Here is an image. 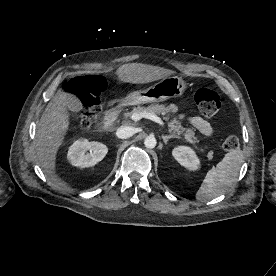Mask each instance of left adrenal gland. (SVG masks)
<instances>
[{
  "label": "left adrenal gland",
  "instance_id": "left-adrenal-gland-1",
  "mask_svg": "<svg viewBox=\"0 0 276 276\" xmlns=\"http://www.w3.org/2000/svg\"><path fill=\"white\" fill-rule=\"evenodd\" d=\"M162 138H163L164 143L167 144V142H168L169 139H171V138H179V137L176 136V135H163Z\"/></svg>",
  "mask_w": 276,
  "mask_h": 276
}]
</instances>
